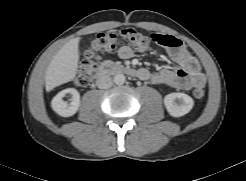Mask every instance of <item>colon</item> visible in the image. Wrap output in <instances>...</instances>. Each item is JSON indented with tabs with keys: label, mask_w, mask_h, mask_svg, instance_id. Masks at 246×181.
Masks as SVG:
<instances>
[{
	"label": "colon",
	"mask_w": 246,
	"mask_h": 181,
	"mask_svg": "<svg viewBox=\"0 0 246 181\" xmlns=\"http://www.w3.org/2000/svg\"><path fill=\"white\" fill-rule=\"evenodd\" d=\"M151 41L164 48H178L181 45V41L174 36L166 34L148 36L134 27L119 31L108 30L97 34L85 53V59L79 65L75 83L80 86L87 85L92 79L100 55L113 51L120 43H128L136 51L144 52L148 50ZM192 94L194 98L202 99L205 96V90L202 87H197Z\"/></svg>",
	"instance_id": "obj_1"
}]
</instances>
